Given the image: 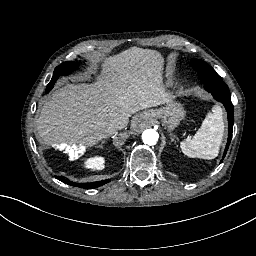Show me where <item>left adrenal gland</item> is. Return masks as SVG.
<instances>
[{
	"mask_svg": "<svg viewBox=\"0 0 256 256\" xmlns=\"http://www.w3.org/2000/svg\"><path fill=\"white\" fill-rule=\"evenodd\" d=\"M170 136H171V141H172V142L178 140V138H177L173 133H170Z\"/></svg>",
	"mask_w": 256,
	"mask_h": 256,
	"instance_id": "obj_1",
	"label": "left adrenal gland"
}]
</instances>
